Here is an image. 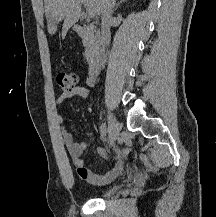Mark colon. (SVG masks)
Listing matches in <instances>:
<instances>
[{
  "mask_svg": "<svg viewBox=\"0 0 216 217\" xmlns=\"http://www.w3.org/2000/svg\"><path fill=\"white\" fill-rule=\"evenodd\" d=\"M56 81L63 90L69 91L77 86L78 75L75 72L60 70L56 73Z\"/></svg>",
  "mask_w": 216,
  "mask_h": 217,
  "instance_id": "5ec220e1",
  "label": "colon"
}]
</instances>
